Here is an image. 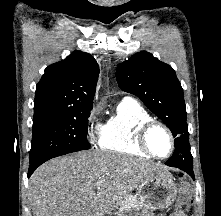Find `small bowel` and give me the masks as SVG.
<instances>
[{"instance_id":"small-bowel-1","label":"small bowel","mask_w":221,"mask_h":216,"mask_svg":"<svg viewBox=\"0 0 221 216\" xmlns=\"http://www.w3.org/2000/svg\"><path fill=\"white\" fill-rule=\"evenodd\" d=\"M171 216H186L183 212H175Z\"/></svg>"}]
</instances>
